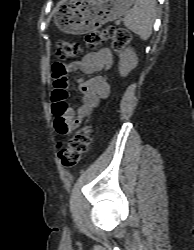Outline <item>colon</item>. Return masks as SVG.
<instances>
[{
	"mask_svg": "<svg viewBox=\"0 0 194 250\" xmlns=\"http://www.w3.org/2000/svg\"><path fill=\"white\" fill-rule=\"evenodd\" d=\"M130 35L123 28L107 27L90 31L85 37L87 47L95 48L100 44L110 41L116 50L123 49L129 42ZM80 51V45L69 40L57 42L55 55L60 59L75 57ZM67 94L62 92L53 93V111L61 109V100H66ZM91 127L83 126L70 139L66 146L60 147L58 151L59 158L65 167L74 165L81 156L87 151L90 144Z\"/></svg>",
	"mask_w": 194,
	"mask_h": 250,
	"instance_id": "5ec220e1",
	"label": "colon"
}]
</instances>
